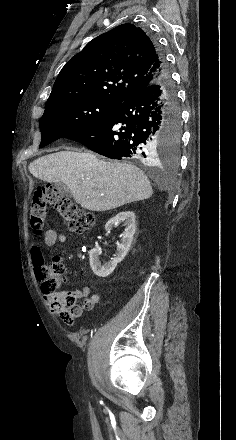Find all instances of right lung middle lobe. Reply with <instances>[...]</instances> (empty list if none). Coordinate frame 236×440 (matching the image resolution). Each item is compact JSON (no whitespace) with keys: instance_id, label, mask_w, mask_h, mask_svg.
Masks as SVG:
<instances>
[{"instance_id":"dd1d6c3e","label":"right lung middle lobe","mask_w":236,"mask_h":440,"mask_svg":"<svg viewBox=\"0 0 236 440\" xmlns=\"http://www.w3.org/2000/svg\"><path fill=\"white\" fill-rule=\"evenodd\" d=\"M119 104L95 98L47 102L39 125L42 132L40 148L91 128L109 116ZM180 137L178 127L166 129L159 139L162 158L173 164L177 161Z\"/></svg>"}]
</instances>
